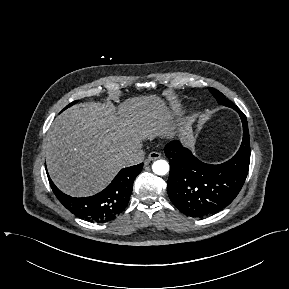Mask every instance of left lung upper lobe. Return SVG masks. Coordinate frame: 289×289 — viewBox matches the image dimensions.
<instances>
[{
	"mask_svg": "<svg viewBox=\"0 0 289 289\" xmlns=\"http://www.w3.org/2000/svg\"><path fill=\"white\" fill-rule=\"evenodd\" d=\"M210 92L213 94V96L216 98L219 104L232 107L233 109L237 110L239 109L236 105H234L230 100H228L221 92H219L216 89L209 88Z\"/></svg>",
	"mask_w": 289,
	"mask_h": 289,
	"instance_id": "left-lung-upper-lobe-1",
	"label": "left lung upper lobe"
}]
</instances>
